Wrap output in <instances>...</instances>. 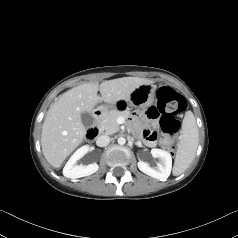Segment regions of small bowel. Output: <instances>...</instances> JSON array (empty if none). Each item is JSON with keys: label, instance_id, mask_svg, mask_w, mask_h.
<instances>
[{"label": "small bowel", "instance_id": "small-bowel-1", "mask_svg": "<svg viewBox=\"0 0 238 238\" xmlns=\"http://www.w3.org/2000/svg\"><path fill=\"white\" fill-rule=\"evenodd\" d=\"M144 116L148 121L155 122L160 118L161 111L157 106L150 105L145 109ZM142 120L143 117L141 116L136 117V124L140 125ZM142 137L148 146H155L157 143V134L155 131L144 129L142 131Z\"/></svg>", "mask_w": 238, "mask_h": 238}]
</instances>
